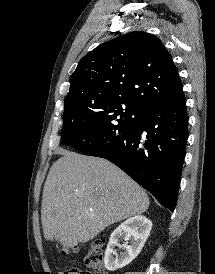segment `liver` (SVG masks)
Segmentation results:
<instances>
[{"label": "liver", "mask_w": 215, "mask_h": 274, "mask_svg": "<svg viewBox=\"0 0 215 274\" xmlns=\"http://www.w3.org/2000/svg\"><path fill=\"white\" fill-rule=\"evenodd\" d=\"M59 153L62 157L50 168L43 188L46 240L73 247L113 223L147 211L145 191L113 163L66 150Z\"/></svg>", "instance_id": "obj_1"}]
</instances>
